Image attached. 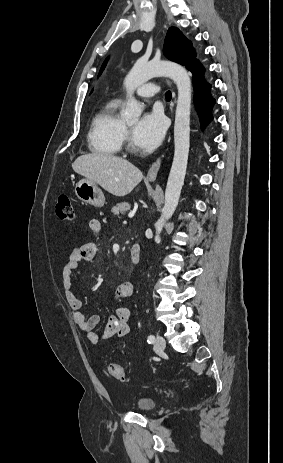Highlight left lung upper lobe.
I'll return each instance as SVG.
<instances>
[{
  "label": "left lung upper lobe",
  "instance_id": "obj_1",
  "mask_svg": "<svg viewBox=\"0 0 283 463\" xmlns=\"http://www.w3.org/2000/svg\"><path fill=\"white\" fill-rule=\"evenodd\" d=\"M163 52L169 60L185 65L187 68L197 62L191 43L180 30L175 27H171L167 31ZM106 62L107 60L103 63L99 75L104 70Z\"/></svg>",
  "mask_w": 283,
  "mask_h": 463
}]
</instances>
